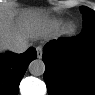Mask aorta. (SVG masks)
<instances>
[{
    "label": "aorta",
    "mask_w": 95,
    "mask_h": 95,
    "mask_svg": "<svg viewBox=\"0 0 95 95\" xmlns=\"http://www.w3.org/2000/svg\"><path fill=\"white\" fill-rule=\"evenodd\" d=\"M29 72L34 76H41L45 72V64L40 59L33 60L28 66Z\"/></svg>",
    "instance_id": "1"
}]
</instances>
